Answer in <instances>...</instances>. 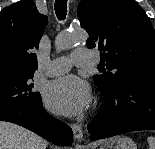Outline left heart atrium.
<instances>
[{
  "mask_svg": "<svg viewBox=\"0 0 155 149\" xmlns=\"http://www.w3.org/2000/svg\"><path fill=\"white\" fill-rule=\"evenodd\" d=\"M44 101L47 108L53 113L65 116L78 115L90 104V89L77 76L67 75L47 85Z\"/></svg>",
  "mask_w": 155,
  "mask_h": 149,
  "instance_id": "1",
  "label": "left heart atrium"
}]
</instances>
